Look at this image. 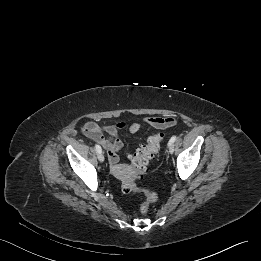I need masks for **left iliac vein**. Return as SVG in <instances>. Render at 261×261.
I'll list each match as a JSON object with an SVG mask.
<instances>
[{
  "label": "left iliac vein",
  "mask_w": 261,
  "mask_h": 261,
  "mask_svg": "<svg viewBox=\"0 0 261 261\" xmlns=\"http://www.w3.org/2000/svg\"><path fill=\"white\" fill-rule=\"evenodd\" d=\"M168 152H170L171 154L174 152L173 144L168 145Z\"/></svg>",
  "instance_id": "left-iliac-vein-1"
}]
</instances>
